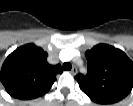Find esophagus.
Instances as JSON below:
<instances>
[{
  "label": "esophagus",
  "mask_w": 133,
  "mask_h": 106,
  "mask_svg": "<svg viewBox=\"0 0 133 106\" xmlns=\"http://www.w3.org/2000/svg\"><path fill=\"white\" fill-rule=\"evenodd\" d=\"M77 72H78V69H77V67H75V66H74V67L71 69V71H70V73H71L72 75H76Z\"/></svg>",
  "instance_id": "1"
}]
</instances>
